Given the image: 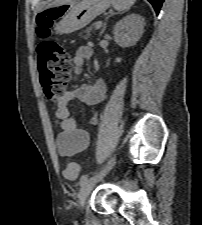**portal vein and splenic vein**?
Listing matches in <instances>:
<instances>
[{
    "label": "portal vein and splenic vein",
    "instance_id": "1",
    "mask_svg": "<svg viewBox=\"0 0 202 225\" xmlns=\"http://www.w3.org/2000/svg\"><path fill=\"white\" fill-rule=\"evenodd\" d=\"M102 26V21H98L95 25V29H99Z\"/></svg>",
    "mask_w": 202,
    "mask_h": 225
}]
</instances>
